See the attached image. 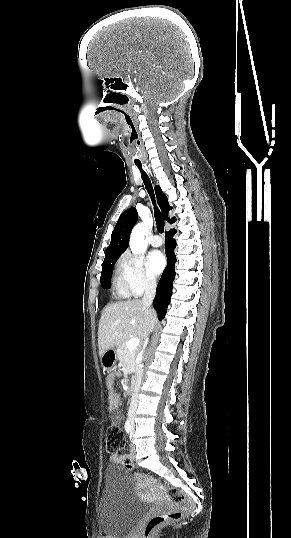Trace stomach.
<instances>
[{"instance_id": "0dacf381", "label": "stomach", "mask_w": 291, "mask_h": 538, "mask_svg": "<svg viewBox=\"0 0 291 538\" xmlns=\"http://www.w3.org/2000/svg\"><path fill=\"white\" fill-rule=\"evenodd\" d=\"M117 360V353L114 348L106 350L101 356V364L104 368L110 369L113 367Z\"/></svg>"}]
</instances>
